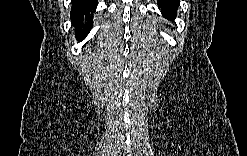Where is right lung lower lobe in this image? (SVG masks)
Returning a JSON list of instances; mask_svg holds the SVG:
<instances>
[{"mask_svg": "<svg viewBox=\"0 0 247 156\" xmlns=\"http://www.w3.org/2000/svg\"><path fill=\"white\" fill-rule=\"evenodd\" d=\"M70 18L72 25L76 27L77 39L81 41L84 35L92 28L91 20L96 11V0H73Z\"/></svg>", "mask_w": 247, "mask_h": 156, "instance_id": "1", "label": "right lung lower lobe"}]
</instances>
